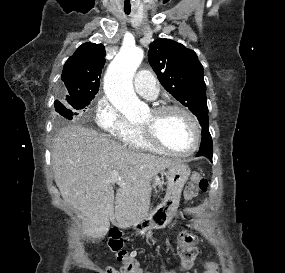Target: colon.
<instances>
[{
	"mask_svg": "<svg viewBox=\"0 0 285 273\" xmlns=\"http://www.w3.org/2000/svg\"><path fill=\"white\" fill-rule=\"evenodd\" d=\"M208 181L202 175L194 173L190 181L186 184L184 189V201L187 206L191 205V200L195 198L199 192H207ZM183 219H187L188 215L183 214ZM197 239L191 232H182L179 236L177 253L181 261L183 269L190 270L196 261L198 250L196 247ZM109 250L115 254L118 263L120 264V271L109 269L107 273H142L139 261L130 255L124 248L123 239L116 233H112L107 240Z\"/></svg>",
	"mask_w": 285,
	"mask_h": 273,
	"instance_id": "obj_1",
	"label": "colon"
}]
</instances>
